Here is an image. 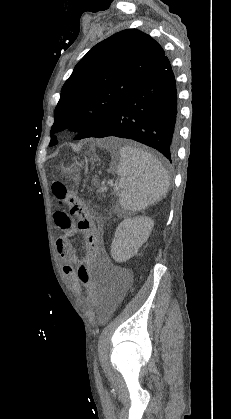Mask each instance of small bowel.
Returning <instances> with one entry per match:
<instances>
[{
	"label": "small bowel",
	"mask_w": 231,
	"mask_h": 419,
	"mask_svg": "<svg viewBox=\"0 0 231 419\" xmlns=\"http://www.w3.org/2000/svg\"><path fill=\"white\" fill-rule=\"evenodd\" d=\"M56 229L58 232H64L57 241L56 249L63 261V273L67 280L73 283L74 290L78 296H82V286L80 281L76 279L75 264L79 262L75 249L73 247L71 236L77 231L73 224L71 213L56 212L54 216ZM107 261V255L100 250L99 258L92 262L100 266ZM127 289V284L119 277L113 278L103 284V312L105 316L110 315L123 301ZM96 300V299H95Z\"/></svg>",
	"instance_id": "small-bowel-1"
}]
</instances>
